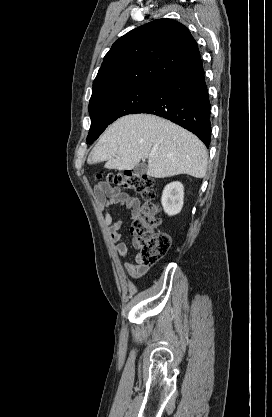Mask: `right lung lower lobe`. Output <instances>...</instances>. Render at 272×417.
I'll return each mask as SVG.
<instances>
[{
    "mask_svg": "<svg viewBox=\"0 0 272 417\" xmlns=\"http://www.w3.org/2000/svg\"><path fill=\"white\" fill-rule=\"evenodd\" d=\"M135 113L161 116L191 131L208 146L210 101L201 58L174 72Z\"/></svg>",
    "mask_w": 272,
    "mask_h": 417,
    "instance_id": "obj_1",
    "label": "right lung lower lobe"
}]
</instances>
